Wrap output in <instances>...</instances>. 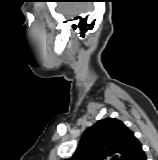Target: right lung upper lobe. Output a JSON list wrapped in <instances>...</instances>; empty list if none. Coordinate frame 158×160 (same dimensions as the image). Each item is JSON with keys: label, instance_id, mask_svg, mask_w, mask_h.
<instances>
[{"label": "right lung upper lobe", "instance_id": "right-lung-upper-lobe-1", "mask_svg": "<svg viewBox=\"0 0 158 160\" xmlns=\"http://www.w3.org/2000/svg\"><path fill=\"white\" fill-rule=\"evenodd\" d=\"M141 149V143L122 121L106 118L84 132L67 160H131Z\"/></svg>", "mask_w": 158, "mask_h": 160}]
</instances>
